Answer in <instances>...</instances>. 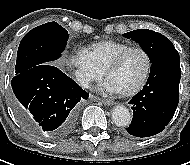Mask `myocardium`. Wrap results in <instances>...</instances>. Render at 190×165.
<instances>
[{
    "mask_svg": "<svg viewBox=\"0 0 190 165\" xmlns=\"http://www.w3.org/2000/svg\"><path fill=\"white\" fill-rule=\"evenodd\" d=\"M133 51H139L141 52L145 59H146V69H145V72H144V75L143 77L141 78V80L131 89L129 90H126V91H121V92H118L120 95L122 96H132V95H135L136 93H138L146 84L149 76H150V73H151V70H152V58L149 54V52L143 48V47H140V46H131L125 50H123L122 52H120L109 64L108 66L106 67L105 71H104V76L105 78L107 79L109 74L114 71L121 63L122 61L125 59V57L133 52Z\"/></svg>",
    "mask_w": 190,
    "mask_h": 165,
    "instance_id": "obj_1",
    "label": "myocardium"
}]
</instances>
